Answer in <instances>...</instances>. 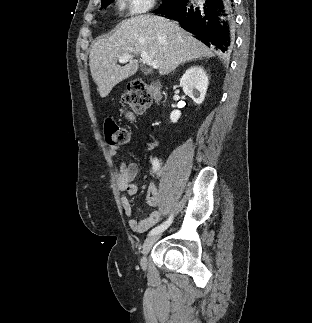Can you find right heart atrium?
<instances>
[{"mask_svg":"<svg viewBox=\"0 0 312 323\" xmlns=\"http://www.w3.org/2000/svg\"><path fill=\"white\" fill-rule=\"evenodd\" d=\"M159 3L160 0H117V5H125L126 13H149Z\"/></svg>","mask_w":312,"mask_h":323,"instance_id":"1","label":"right heart atrium"}]
</instances>
